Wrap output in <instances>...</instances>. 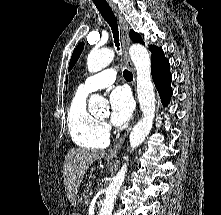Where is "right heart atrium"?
<instances>
[{"mask_svg":"<svg viewBox=\"0 0 221 215\" xmlns=\"http://www.w3.org/2000/svg\"><path fill=\"white\" fill-rule=\"evenodd\" d=\"M102 130H103V132H104L105 134H108V132H109V130H110L108 124L102 123Z\"/></svg>","mask_w":221,"mask_h":215,"instance_id":"1","label":"right heart atrium"}]
</instances>
